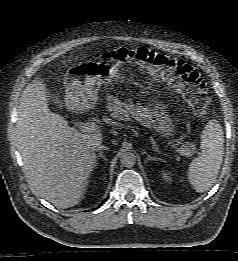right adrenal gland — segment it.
<instances>
[{
	"label": "right adrenal gland",
	"instance_id": "2a0ac1e0",
	"mask_svg": "<svg viewBox=\"0 0 238 261\" xmlns=\"http://www.w3.org/2000/svg\"><path fill=\"white\" fill-rule=\"evenodd\" d=\"M108 149H109L108 147L102 146V149L100 150L99 155H98L97 158H96L95 166H97V165L99 164V163H98V160H99L100 158H102L104 161H106V158H105V156L103 155V151H104V150H108Z\"/></svg>",
	"mask_w": 238,
	"mask_h": 261
}]
</instances>
